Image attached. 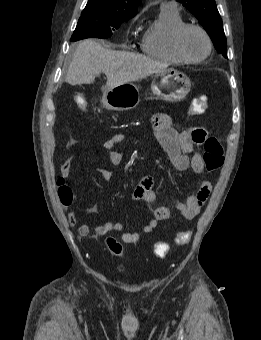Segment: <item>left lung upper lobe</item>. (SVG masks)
<instances>
[{
    "instance_id": "1",
    "label": "left lung upper lobe",
    "mask_w": 261,
    "mask_h": 340,
    "mask_svg": "<svg viewBox=\"0 0 261 340\" xmlns=\"http://www.w3.org/2000/svg\"><path fill=\"white\" fill-rule=\"evenodd\" d=\"M183 4L209 34L213 44L224 57H227V41L223 30L222 19L215 0H176Z\"/></svg>"
}]
</instances>
